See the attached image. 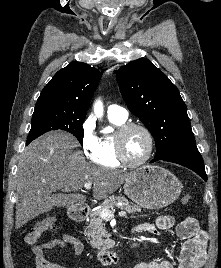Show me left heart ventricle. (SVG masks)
I'll return each mask as SVG.
<instances>
[{"label": "left heart ventricle", "mask_w": 221, "mask_h": 268, "mask_svg": "<svg viewBox=\"0 0 221 268\" xmlns=\"http://www.w3.org/2000/svg\"><path fill=\"white\" fill-rule=\"evenodd\" d=\"M148 150V138L140 129L129 130L124 137L126 157L133 162L141 160Z\"/></svg>", "instance_id": "left-heart-ventricle-1"}]
</instances>
